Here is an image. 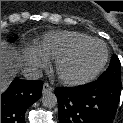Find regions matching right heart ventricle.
Masks as SVG:
<instances>
[{
    "instance_id": "e07e8e85",
    "label": "right heart ventricle",
    "mask_w": 123,
    "mask_h": 123,
    "mask_svg": "<svg viewBox=\"0 0 123 123\" xmlns=\"http://www.w3.org/2000/svg\"><path fill=\"white\" fill-rule=\"evenodd\" d=\"M90 38L75 31L49 32L34 44L33 50L43 55L47 60H56L74 45Z\"/></svg>"
}]
</instances>
